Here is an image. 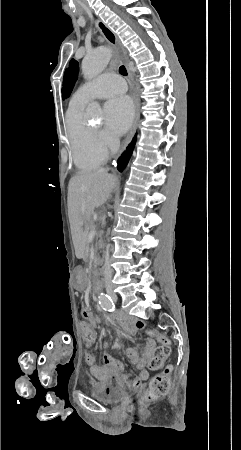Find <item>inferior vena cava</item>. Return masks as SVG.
Masks as SVG:
<instances>
[{"instance_id":"1","label":"inferior vena cava","mask_w":241,"mask_h":450,"mask_svg":"<svg viewBox=\"0 0 241 450\" xmlns=\"http://www.w3.org/2000/svg\"><path fill=\"white\" fill-rule=\"evenodd\" d=\"M104 278H105L106 282H111V280H112V270H111V262H110V256H109V246H107L106 252H105Z\"/></svg>"}]
</instances>
